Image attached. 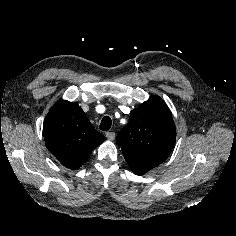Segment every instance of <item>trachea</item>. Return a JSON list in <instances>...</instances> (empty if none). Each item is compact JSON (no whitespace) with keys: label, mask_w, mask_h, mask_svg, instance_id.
Segmentation results:
<instances>
[{"label":"trachea","mask_w":236,"mask_h":236,"mask_svg":"<svg viewBox=\"0 0 236 236\" xmlns=\"http://www.w3.org/2000/svg\"><path fill=\"white\" fill-rule=\"evenodd\" d=\"M112 125V121L111 118L109 116H105L103 117V119L101 120L100 123V130L102 131H108L111 128Z\"/></svg>","instance_id":"3493384b"}]
</instances>
